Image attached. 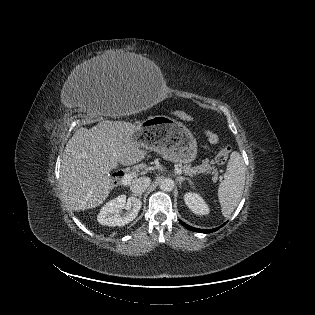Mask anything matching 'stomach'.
<instances>
[{
  "label": "stomach",
  "instance_id": "1",
  "mask_svg": "<svg viewBox=\"0 0 315 315\" xmlns=\"http://www.w3.org/2000/svg\"><path fill=\"white\" fill-rule=\"evenodd\" d=\"M133 137L143 148L155 151L172 162L190 163L197 155V142L191 131L165 115L143 120Z\"/></svg>",
  "mask_w": 315,
  "mask_h": 315
}]
</instances>
